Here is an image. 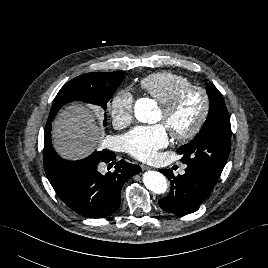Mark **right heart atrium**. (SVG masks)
I'll use <instances>...</instances> for the list:
<instances>
[{
	"label": "right heart atrium",
	"mask_w": 268,
	"mask_h": 268,
	"mask_svg": "<svg viewBox=\"0 0 268 268\" xmlns=\"http://www.w3.org/2000/svg\"><path fill=\"white\" fill-rule=\"evenodd\" d=\"M134 97L127 88L119 90L110 102V115L117 125H128L133 120Z\"/></svg>",
	"instance_id": "right-heart-atrium-1"
}]
</instances>
